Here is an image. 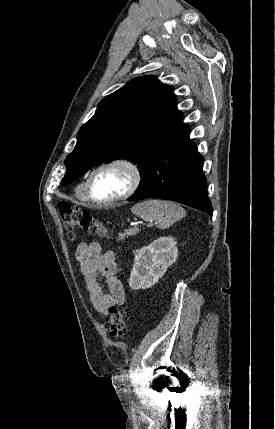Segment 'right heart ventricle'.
<instances>
[{
  "mask_svg": "<svg viewBox=\"0 0 275 429\" xmlns=\"http://www.w3.org/2000/svg\"><path fill=\"white\" fill-rule=\"evenodd\" d=\"M85 183H86V179L83 180L81 183H79L78 186L76 187V196L80 200H83V201L86 200V196H85Z\"/></svg>",
  "mask_w": 275,
  "mask_h": 429,
  "instance_id": "right-heart-ventricle-1",
  "label": "right heart ventricle"
}]
</instances>
